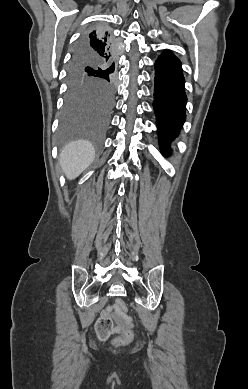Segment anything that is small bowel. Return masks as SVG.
Segmentation results:
<instances>
[{"label": "small bowel", "mask_w": 248, "mask_h": 389, "mask_svg": "<svg viewBox=\"0 0 248 389\" xmlns=\"http://www.w3.org/2000/svg\"><path fill=\"white\" fill-rule=\"evenodd\" d=\"M113 309H114L113 306H108L105 310H103L102 312L103 316L110 317Z\"/></svg>", "instance_id": "1"}]
</instances>
